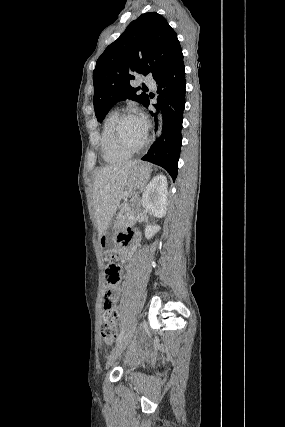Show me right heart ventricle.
I'll list each match as a JSON object with an SVG mask.
<instances>
[{"label": "right heart ventricle", "mask_w": 285, "mask_h": 427, "mask_svg": "<svg viewBox=\"0 0 285 427\" xmlns=\"http://www.w3.org/2000/svg\"><path fill=\"white\" fill-rule=\"evenodd\" d=\"M116 110H111L105 117L100 134V148L103 159L108 163H119L128 160L132 154L122 151L113 140L112 126L118 116Z\"/></svg>", "instance_id": "obj_1"}]
</instances>
